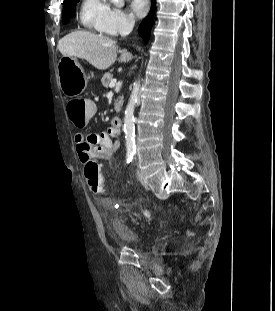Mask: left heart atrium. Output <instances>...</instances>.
Wrapping results in <instances>:
<instances>
[{"instance_id":"1","label":"left heart atrium","mask_w":275,"mask_h":311,"mask_svg":"<svg viewBox=\"0 0 275 311\" xmlns=\"http://www.w3.org/2000/svg\"><path fill=\"white\" fill-rule=\"evenodd\" d=\"M149 8L148 0H131L130 9L134 16L143 17Z\"/></svg>"}]
</instances>
